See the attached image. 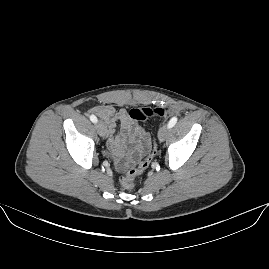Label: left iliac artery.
Returning <instances> with one entry per match:
<instances>
[{"instance_id": "1", "label": "left iliac artery", "mask_w": 269, "mask_h": 269, "mask_svg": "<svg viewBox=\"0 0 269 269\" xmlns=\"http://www.w3.org/2000/svg\"><path fill=\"white\" fill-rule=\"evenodd\" d=\"M177 122V117L171 118V120L168 123V128H172Z\"/></svg>"}]
</instances>
